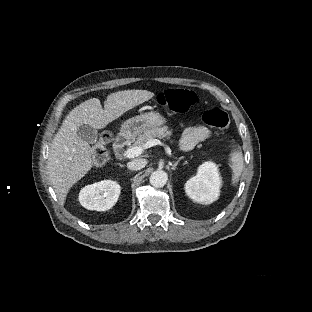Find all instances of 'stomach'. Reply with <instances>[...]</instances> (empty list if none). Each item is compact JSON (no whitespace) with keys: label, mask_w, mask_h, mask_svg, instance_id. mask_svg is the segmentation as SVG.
I'll list each match as a JSON object with an SVG mask.
<instances>
[{"label":"stomach","mask_w":312,"mask_h":312,"mask_svg":"<svg viewBox=\"0 0 312 312\" xmlns=\"http://www.w3.org/2000/svg\"><path fill=\"white\" fill-rule=\"evenodd\" d=\"M166 122L165 118L157 112H147L126 120L120 129L121 135L133 139L141 132L152 127L161 126Z\"/></svg>","instance_id":"obj_1"}]
</instances>
